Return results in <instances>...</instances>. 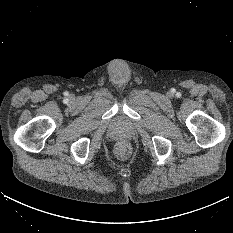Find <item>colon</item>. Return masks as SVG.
Here are the masks:
<instances>
[{
    "mask_svg": "<svg viewBox=\"0 0 233 233\" xmlns=\"http://www.w3.org/2000/svg\"><path fill=\"white\" fill-rule=\"evenodd\" d=\"M131 152L130 146L126 141H120L115 148L116 156L120 159H126Z\"/></svg>",
    "mask_w": 233,
    "mask_h": 233,
    "instance_id": "1",
    "label": "colon"
}]
</instances>
